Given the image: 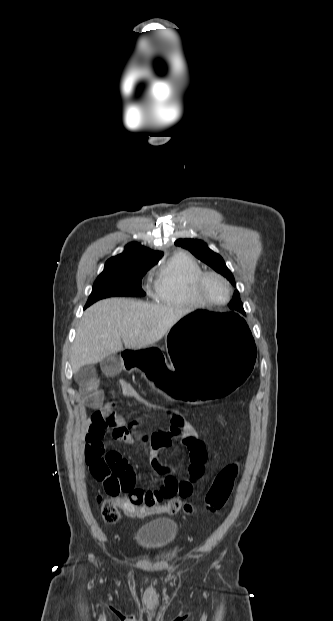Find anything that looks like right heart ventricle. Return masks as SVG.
I'll return each instance as SVG.
<instances>
[{"instance_id": "right-heart-ventricle-1", "label": "right heart ventricle", "mask_w": 333, "mask_h": 621, "mask_svg": "<svg viewBox=\"0 0 333 621\" xmlns=\"http://www.w3.org/2000/svg\"><path fill=\"white\" fill-rule=\"evenodd\" d=\"M202 273L200 265L185 254H176L154 273L152 298L173 306L201 305L193 293L194 280Z\"/></svg>"}]
</instances>
